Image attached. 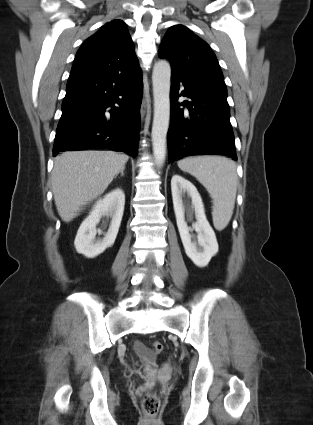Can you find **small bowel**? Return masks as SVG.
<instances>
[{
    "mask_svg": "<svg viewBox=\"0 0 313 425\" xmlns=\"http://www.w3.org/2000/svg\"><path fill=\"white\" fill-rule=\"evenodd\" d=\"M136 348H137L138 350H143V349H144V346H143L141 343H137V344H136Z\"/></svg>",
    "mask_w": 313,
    "mask_h": 425,
    "instance_id": "small-bowel-1",
    "label": "small bowel"
}]
</instances>
